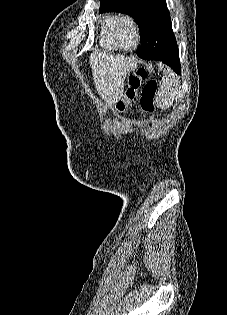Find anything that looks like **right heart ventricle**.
<instances>
[{
  "mask_svg": "<svg viewBox=\"0 0 227 315\" xmlns=\"http://www.w3.org/2000/svg\"><path fill=\"white\" fill-rule=\"evenodd\" d=\"M120 14L111 12L101 15L100 17V42L108 50H117L119 45L115 37V24Z\"/></svg>",
  "mask_w": 227,
  "mask_h": 315,
  "instance_id": "e07e8e85",
  "label": "right heart ventricle"
}]
</instances>
